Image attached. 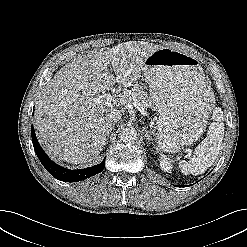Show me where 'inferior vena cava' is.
<instances>
[{"mask_svg":"<svg viewBox=\"0 0 247 247\" xmlns=\"http://www.w3.org/2000/svg\"><path fill=\"white\" fill-rule=\"evenodd\" d=\"M122 118V114L120 112H110L105 117V126L106 128L112 129Z\"/></svg>","mask_w":247,"mask_h":247,"instance_id":"602c4592","label":"inferior vena cava"}]
</instances>
